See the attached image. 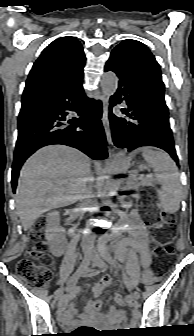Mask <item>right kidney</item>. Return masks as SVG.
<instances>
[{
    "instance_id": "obj_1",
    "label": "right kidney",
    "mask_w": 194,
    "mask_h": 336,
    "mask_svg": "<svg viewBox=\"0 0 194 336\" xmlns=\"http://www.w3.org/2000/svg\"><path fill=\"white\" fill-rule=\"evenodd\" d=\"M61 232L62 228L60 227V214L59 212L54 211L49 214L45 234V237L50 246V250L54 255L59 254Z\"/></svg>"
}]
</instances>
